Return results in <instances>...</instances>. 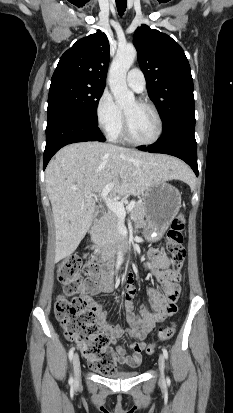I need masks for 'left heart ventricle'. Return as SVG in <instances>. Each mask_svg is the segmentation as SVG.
Returning <instances> with one entry per match:
<instances>
[{
	"instance_id": "1",
	"label": "left heart ventricle",
	"mask_w": 233,
	"mask_h": 413,
	"mask_svg": "<svg viewBox=\"0 0 233 413\" xmlns=\"http://www.w3.org/2000/svg\"><path fill=\"white\" fill-rule=\"evenodd\" d=\"M132 136L139 141H149L154 138L158 124L153 112L136 101L130 102L125 108Z\"/></svg>"
}]
</instances>
